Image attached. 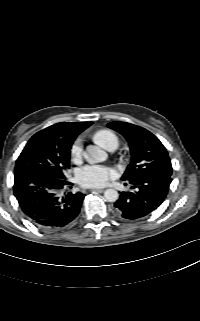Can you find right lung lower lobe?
Segmentation results:
<instances>
[{"label": "right lung lower lobe", "instance_id": "right-lung-lower-lobe-1", "mask_svg": "<svg viewBox=\"0 0 200 321\" xmlns=\"http://www.w3.org/2000/svg\"><path fill=\"white\" fill-rule=\"evenodd\" d=\"M71 185L47 172L27 170L15 174L13 190L22 211L37 227L56 231L73 222L84 199L80 192L64 193Z\"/></svg>", "mask_w": 200, "mask_h": 321}]
</instances>
